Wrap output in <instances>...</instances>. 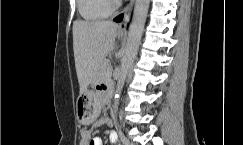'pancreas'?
<instances>
[{"label":"pancreas","mask_w":243,"mask_h":145,"mask_svg":"<svg viewBox=\"0 0 243 145\" xmlns=\"http://www.w3.org/2000/svg\"><path fill=\"white\" fill-rule=\"evenodd\" d=\"M112 68L108 61H103L97 73V79H105L111 76Z\"/></svg>","instance_id":"cf45deb5"}]
</instances>
